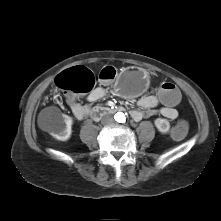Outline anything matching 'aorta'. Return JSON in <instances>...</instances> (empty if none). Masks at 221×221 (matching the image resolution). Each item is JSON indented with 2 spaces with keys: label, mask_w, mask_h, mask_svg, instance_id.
Instances as JSON below:
<instances>
[{
  "label": "aorta",
  "mask_w": 221,
  "mask_h": 221,
  "mask_svg": "<svg viewBox=\"0 0 221 221\" xmlns=\"http://www.w3.org/2000/svg\"><path fill=\"white\" fill-rule=\"evenodd\" d=\"M114 118H115V120H116L117 122L122 123V122H124V120H125V115H124V113H122V112H118V113L115 114Z\"/></svg>",
  "instance_id": "aorta-1"
}]
</instances>
